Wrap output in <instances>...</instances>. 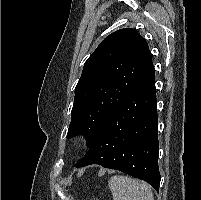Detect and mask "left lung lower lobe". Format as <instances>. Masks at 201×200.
<instances>
[{
  "instance_id": "left-lung-lower-lobe-1",
  "label": "left lung lower lobe",
  "mask_w": 201,
  "mask_h": 200,
  "mask_svg": "<svg viewBox=\"0 0 201 200\" xmlns=\"http://www.w3.org/2000/svg\"><path fill=\"white\" fill-rule=\"evenodd\" d=\"M158 116L154 69L111 111L89 150L76 164H99L142 179L157 191Z\"/></svg>"
}]
</instances>
